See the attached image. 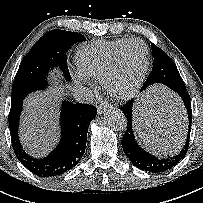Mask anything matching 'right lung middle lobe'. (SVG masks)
Returning a JSON list of instances; mask_svg holds the SVG:
<instances>
[{
	"label": "right lung middle lobe",
	"mask_w": 203,
	"mask_h": 203,
	"mask_svg": "<svg viewBox=\"0 0 203 203\" xmlns=\"http://www.w3.org/2000/svg\"><path fill=\"white\" fill-rule=\"evenodd\" d=\"M85 40L79 33L64 30H52L43 35L19 67L12 89L11 104L23 101L33 91L46 88V77L54 67H60L67 80H70L66 52L76 42Z\"/></svg>",
	"instance_id": "right-lung-middle-lobe-1"
}]
</instances>
